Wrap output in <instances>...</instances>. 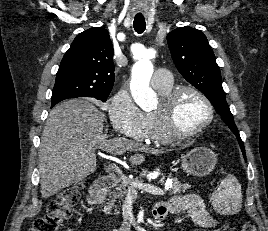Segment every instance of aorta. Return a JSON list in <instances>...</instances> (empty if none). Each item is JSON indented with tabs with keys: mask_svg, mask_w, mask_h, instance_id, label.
Segmentation results:
<instances>
[{
	"mask_svg": "<svg viewBox=\"0 0 268 231\" xmlns=\"http://www.w3.org/2000/svg\"><path fill=\"white\" fill-rule=\"evenodd\" d=\"M155 50L146 49L132 68L130 90L133 99L142 109H147L155 104L156 93L150 87V79L153 74L151 59L155 57Z\"/></svg>",
	"mask_w": 268,
	"mask_h": 231,
	"instance_id": "762f6f07",
	"label": "aorta"
}]
</instances>
